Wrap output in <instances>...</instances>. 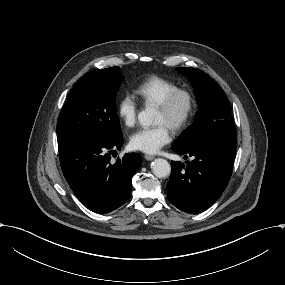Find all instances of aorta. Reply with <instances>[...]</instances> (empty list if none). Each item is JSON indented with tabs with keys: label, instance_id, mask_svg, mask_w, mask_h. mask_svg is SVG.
<instances>
[{
	"label": "aorta",
	"instance_id": "obj_1",
	"mask_svg": "<svg viewBox=\"0 0 285 285\" xmlns=\"http://www.w3.org/2000/svg\"><path fill=\"white\" fill-rule=\"evenodd\" d=\"M155 111L152 108H146L138 114V120L141 125L150 126L154 123ZM154 175L158 178H166L171 172V166L167 160L162 158L155 159L151 164Z\"/></svg>",
	"mask_w": 285,
	"mask_h": 285
}]
</instances>
